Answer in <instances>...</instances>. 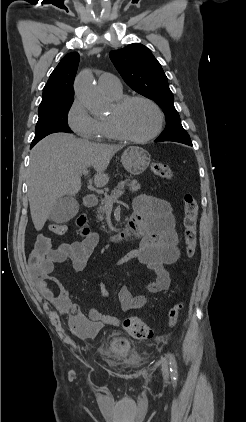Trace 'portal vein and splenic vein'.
<instances>
[{
    "label": "portal vein and splenic vein",
    "mask_w": 246,
    "mask_h": 422,
    "mask_svg": "<svg viewBox=\"0 0 246 422\" xmlns=\"http://www.w3.org/2000/svg\"><path fill=\"white\" fill-rule=\"evenodd\" d=\"M83 175L87 176V175H88V171H87V170H84V171H83ZM124 192H125V191H121V192L118 194V196H117V197H115V198H113V199L108 200V205H109V206H112V205H113V203L117 201L118 197H119V196H121L122 194H124Z\"/></svg>",
    "instance_id": "18ae733b"
}]
</instances>
